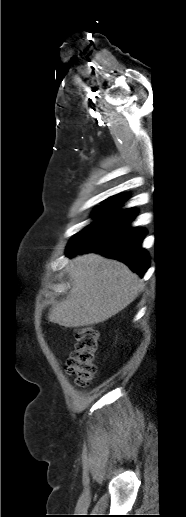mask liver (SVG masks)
Masks as SVG:
<instances>
[{
    "label": "liver",
    "mask_w": 186,
    "mask_h": 517,
    "mask_svg": "<svg viewBox=\"0 0 186 517\" xmlns=\"http://www.w3.org/2000/svg\"><path fill=\"white\" fill-rule=\"evenodd\" d=\"M72 287L66 299L52 306L48 320L64 327L98 324L135 300L143 285L125 264L90 253L67 267Z\"/></svg>",
    "instance_id": "1"
}]
</instances>
